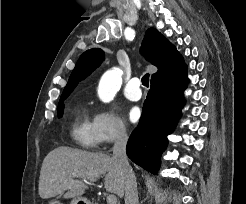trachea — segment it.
Wrapping results in <instances>:
<instances>
[{
  "mask_svg": "<svg viewBox=\"0 0 246 204\" xmlns=\"http://www.w3.org/2000/svg\"><path fill=\"white\" fill-rule=\"evenodd\" d=\"M142 84L145 86V87H148L149 86V74H145L143 77H142Z\"/></svg>",
  "mask_w": 246,
  "mask_h": 204,
  "instance_id": "trachea-1",
  "label": "trachea"
}]
</instances>
